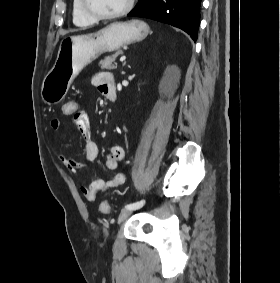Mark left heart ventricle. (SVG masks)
I'll return each instance as SVG.
<instances>
[{
  "mask_svg": "<svg viewBox=\"0 0 280 283\" xmlns=\"http://www.w3.org/2000/svg\"><path fill=\"white\" fill-rule=\"evenodd\" d=\"M128 0H88V4L97 13L112 14L125 7Z\"/></svg>",
  "mask_w": 280,
  "mask_h": 283,
  "instance_id": "1",
  "label": "left heart ventricle"
}]
</instances>
